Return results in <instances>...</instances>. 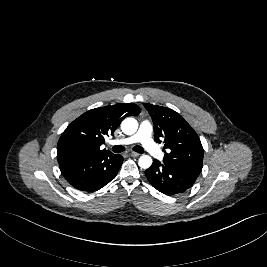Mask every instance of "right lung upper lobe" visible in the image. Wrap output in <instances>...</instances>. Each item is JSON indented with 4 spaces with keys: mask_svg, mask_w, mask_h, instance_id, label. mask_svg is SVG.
Masks as SVG:
<instances>
[{
    "mask_svg": "<svg viewBox=\"0 0 267 267\" xmlns=\"http://www.w3.org/2000/svg\"><path fill=\"white\" fill-rule=\"evenodd\" d=\"M140 111L134 103H121L85 112L62 133L57 145L58 163L112 154L100 149L104 137L113 134L124 118L136 116Z\"/></svg>",
    "mask_w": 267,
    "mask_h": 267,
    "instance_id": "cb5924a9",
    "label": "right lung upper lobe"
}]
</instances>
